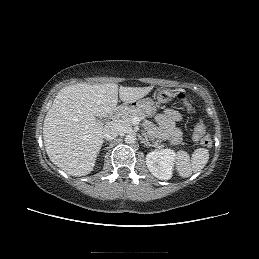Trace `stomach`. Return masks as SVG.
Returning <instances> with one entry per match:
<instances>
[{"label":"stomach","mask_w":259,"mask_h":259,"mask_svg":"<svg viewBox=\"0 0 259 259\" xmlns=\"http://www.w3.org/2000/svg\"><path fill=\"white\" fill-rule=\"evenodd\" d=\"M176 95V91L169 88H159L157 89L155 96L158 103H155L151 98H145L141 100L134 101L127 104V108L138 109L142 111L145 115L152 116L156 113L158 104L167 103L171 101Z\"/></svg>","instance_id":"0dacf381"}]
</instances>
